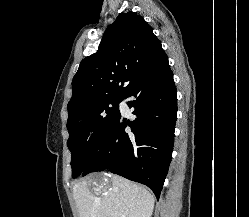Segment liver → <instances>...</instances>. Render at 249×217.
Masks as SVG:
<instances>
[{"label": "liver", "instance_id": "obj_1", "mask_svg": "<svg viewBox=\"0 0 249 217\" xmlns=\"http://www.w3.org/2000/svg\"><path fill=\"white\" fill-rule=\"evenodd\" d=\"M95 185L96 192L90 189ZM80 217H151L154 196L121 176L94 174L73 187Z\"/></svg>", "mask_w": 249, "mask_h": 217}]
</instances>
